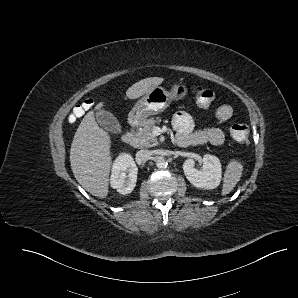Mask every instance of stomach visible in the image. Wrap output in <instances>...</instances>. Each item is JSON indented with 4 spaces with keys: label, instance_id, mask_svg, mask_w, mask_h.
<instances>
[{
    "label": "stomach",
    "instance_id": "0dacf381",
    "mask_svg": "<svg viewBox=\"0 0 298 298\" xmlns=\"http://www.w3.org/2000/svg\"><path fill=\"white\" fill-rule=\"evenodd\" d=\"M186 95L187 87L184 84H174L170 91L161 86L154 87L137 101L130 116L135 120L144 121L149 116L162 113L172 101L183 99Z\"/></svg>",
    "mask_w": 298,
    "mask_h": 298
}]
</instances>
